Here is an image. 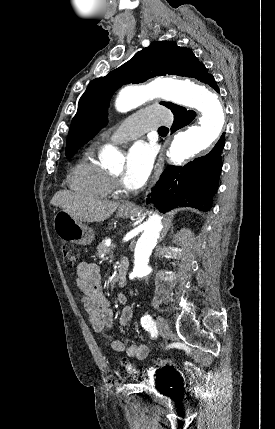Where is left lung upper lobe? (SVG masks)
Instances as JSON below:
<instances>
[{"label": "left lung upper lobe", "instance_id": "1", "mask_svg": "<svg viewBox=\"0 0 275 429\" xmlns=\"http://www.w3.org/2000/svg\"><path fill=\"white\" fill-rule=\"evenodd\" d=\"M204 64L194 53L180 47L174 41H154L137 52L128 62L104 77L90 82L78 103L77 113L72 119L66 143V156L72 157L77 150L93 138L107 123L108 102L122 84L144 82L161 75L197 76ZM160 104L172 110L177 105L170 102Z\"/></svg>", "mask_w": 275, "mask_h": 429}]
</instances>
